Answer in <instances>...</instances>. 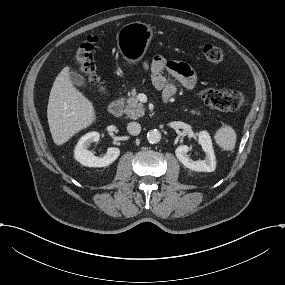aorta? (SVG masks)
<instances>
[{"label":"aorta","mask_w":285,"mask_h":285,"mask_svg":"<svg viewBox=\"0 0 285 285\" xmlns=\"http://www.w3.org/2000/svg\"><path fill=\"white\" fill-rule=\"evenodd\" d=\"M147 139L151 144H156L161 140V133L156 129L150 130L147 133Z\"/></svg>","instance_id":"aorta-1"}]
</instances>
